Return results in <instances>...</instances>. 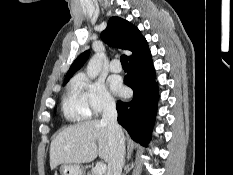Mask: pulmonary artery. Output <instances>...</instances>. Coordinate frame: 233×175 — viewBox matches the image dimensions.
<instances>
[{
    "mask_svg": "<svg viewBox=\"0 0 233 175\" xmlns=\"http://www.w3.org/2000/svg\"><path fill=\"white\" fill-rule=\"evenodd\" d=\"M110 71L114 73H119L122 71V67L120 61L117 59H113L110 63Z\"/></svg>",
    "mask_w": 233,
    "mask_h": 175,
    "instance_id": "1",
    "label": "pulmonary artery"
}]
</instances>
